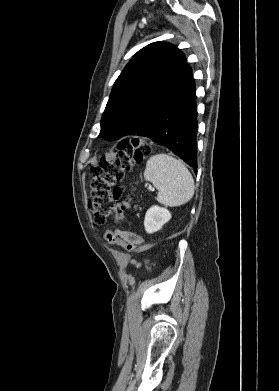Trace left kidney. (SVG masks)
<instances>
[{
	"mask_svg": "<svg viewBox=\"0 0 279 391\" xmlns=\"http://www.w3.org/2000/svg\"><path fill=\"white\" fill-rule=\"evenodd\" d=\"M171 219L168 209L159 206H152L146 212L144 227L147 233L159 231L162 226Z\"/></svg>",
	"mask_w": 279,
	"mask_h": 391,
	"instance_id": "obj_1",
	"label": "left kidney"
}]
</instances>
